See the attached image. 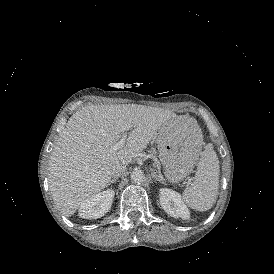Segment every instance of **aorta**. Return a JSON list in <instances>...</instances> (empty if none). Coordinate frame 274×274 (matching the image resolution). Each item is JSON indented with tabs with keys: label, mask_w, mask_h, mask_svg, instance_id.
I'll list each match as a JSON object with an SVG mask.
<instances>
[{
	"label": "aorta",
	"mask_w": 274,
	"mask_h": 274,
	"mask_svg": "<svg viewBox=\"0 0 274 274\" xmlns=\"http://www.w3.org/2000/svg\"><path fill=\"white\" fill-rule=\"evenodd\" d=\"M131 180L134 183H138V184L142 183L145 180L144 172L140 169L134 170L131 173Z\"/></svg>",
	"instance_id": "762f6f07"
}]
</instances>
